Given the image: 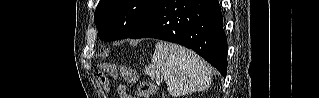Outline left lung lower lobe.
Listing matches in <instances>:
<instances>
[{"label":"left lung lower lobe","mask_w":319,"mask_h":98,"mask_svg":"<svg viewBox=\"0 0 319 98\" xmlns=\"http://www.w3.org/2000/svg\"><path fill=\"white\" fill-rule=\"evenodd\" d=\"M144 37L188 47L226 76L228 49L218 0H159L129 38Z\"/></svg>","instance_id":"0a47b994"}]
</instances>
